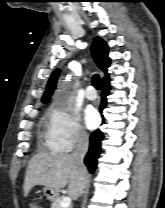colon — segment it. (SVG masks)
<instances>
[{"label":"colon","instance_id":"obj_1","mask_svg":"<svg viewBox=\"0 0 165 208\" xmlns=\"http://www.w3.org/2000/svg\"><path fill=\"white\" fill-rule=\"evenodd\" d=\"M29 208H42V207L39 203L32 202V203H30Z\"/></svg>","mask_w":165,"mask_h":208}]
</instances>
